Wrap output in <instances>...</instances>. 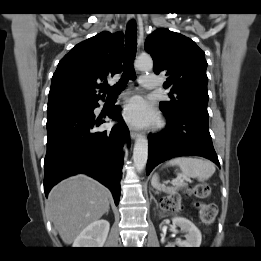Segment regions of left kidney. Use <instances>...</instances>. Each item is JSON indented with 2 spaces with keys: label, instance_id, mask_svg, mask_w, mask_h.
<instances>
[{
  "label": "left kidney",
  "instance_id": "obj_1",
  "mask_svg": "<svg viewBox=\"0 0 261 261\" xmlns=\"http://www.w3.org/2000/svg\"><path fill=\"white\" fill-rule=\"evenodd\" d=\"M174 225L179 226L183 232H186V240L178 241L176 244L181 248H198L200 247L202 235L200 230L188 219L183 217H174ZM173 245L169 244L168 247Z\"/></svg>",
  "mask_w": 261,
  "mask_h": 261
}]
</instances>
